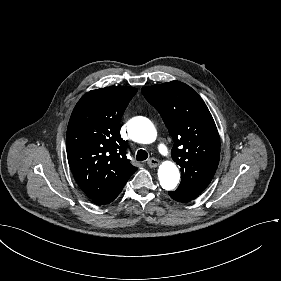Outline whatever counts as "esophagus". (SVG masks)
I'll use <instances>...</instances> for the list:
<instances>
[{
	"mask_svg": "<svg viewBox=\"0 0 281 281\" xmlns=\"http://www.w3.org/2000/svg\"><path fill=\"white\" fill-rule=\"evenodd\" d=\"M147 163L150 168H154L157 167L160 162L155 158H150Z\"/></svg>",
	"mask_w": 281,
	"mask_h": 281,
	"instance_id": "esophagus-1",
	"label": "esophagus"
}]
</instances>
